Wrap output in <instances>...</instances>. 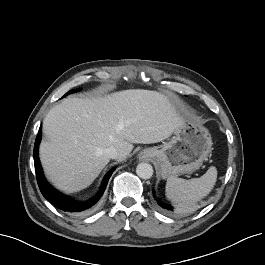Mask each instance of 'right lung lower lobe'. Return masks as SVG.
<instances>
[{"label": "right lung lower lobe", "instance_id": "1", "mask_svg": "<svg viewBox=\"0 0 265 265\" xmlns=\"http://www.w3.org/2000/svg\"><path fill=\"white\" fill-rule=\"evenodd\" d=\"M41 127L39 129L36 141H35V146H34V165H35V171H36V176H37V182L38 186L40 188V191L42 195L49 201L51 202L54 206H56L58 209L66 212H81L85 209L90 208L92 205H94L98 199L103 195L104 190L106 189V185L108 182V179L110 178L112 172L114 171L115 168H113L111 171H109L105 178L103 179L101 189L99 193L96 195V197L93 200H90L89 202L86 203H77L69 198L63 196L61 193H59L57 190L52 188L48 182L46 181L42 167L38 158V146L41 141Z\"/></svg>", "mask_w": 265, "mask_h": 265}]
</instances>
